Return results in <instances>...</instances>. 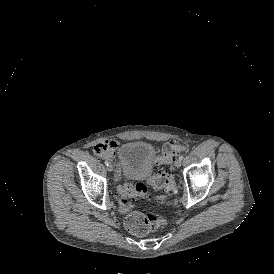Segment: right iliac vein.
<instances>
[{
	"label": "right iliac vein",
	"mask_w": 274,
	"mask_h": 274,
	"mask_svg": "<svg viewBox=\"0 0 274 274\" xmlns=\"http://www.w3.org/2000/svg\"><path fill=\"white\" fill-rule=\"evenodd\" d=\"M107 170H108L109 172H112V171L114 170V166H113L112 164H109V165L107 166Z\"/></svg>",
	"instance_id": "obj_1"
}]
</instances>
